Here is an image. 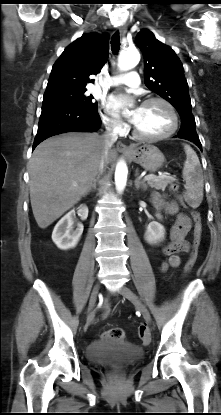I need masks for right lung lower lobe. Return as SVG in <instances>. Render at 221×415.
I'll list each match as a JSON object with an SVG mask.
<instances>
[{"label": "right lung lower lobe", "mask_w": 221, "mask_h": 415, "mask_svg": "<svg viewBox=\"0 0 221 415\" xmlns=\"http://www.w3.org/2000/svg\"><path fill=\"white\" fill-rule=\"evenodd\" d=\"M98 110L62 102H43L33 150L45 139L66 132H92L100 128Z\"/></svg>", "instance_id": "obj_1"}]
</instances>
